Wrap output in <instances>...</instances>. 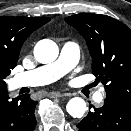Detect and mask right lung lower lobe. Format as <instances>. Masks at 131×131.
Segmentation results:
<instances>
[{
  "instance_id": "right-lung-lower-lobe-1",
  "label": "right lung lower lobe",
  "mask_w": 131,
  "mask_h": 131,
  "mask_svg": "<svg viewBox=\"0 0 131 131\" xmlns=\"http://www.w3.org/2000/svg\"><path fill=\"white\" fill-rule=\"evenodd\" d=\"M36 104L29 94L10 100L7 89L0 90V131H33Z\"/></svg>"
}]
</instances>
